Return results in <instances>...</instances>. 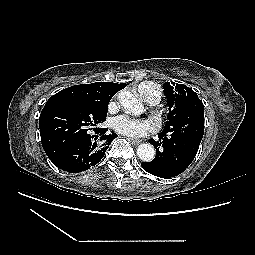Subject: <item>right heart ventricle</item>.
I'll return each mask as SVG.
<instances>
[{
	"instance_id": "right-heart-ventricle-1",
	"label": "right heart ventricle",
	"mask_w": 255,
	"mask_h": 255,
	"mask_svg": "<svg viewBox=\"0 0 255 255\" xmlns=\"http://www.w3.org/2000/svg\"><path fill=\"white\" fill-rule=\"evenodd\" d=\"M145 83L150 84V86L156 90V92L159 94V96H160V98H161L162 92H161V89L159 88L158 85H156V84H154V83H150V82H145ZM143 84H144V83H142V84H140V85H138V86L136 87V92H137L138 94H139V90H140V88H141V86H142Z\"/></svg>"
}]
</instances>
